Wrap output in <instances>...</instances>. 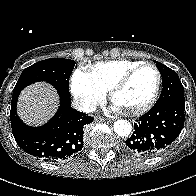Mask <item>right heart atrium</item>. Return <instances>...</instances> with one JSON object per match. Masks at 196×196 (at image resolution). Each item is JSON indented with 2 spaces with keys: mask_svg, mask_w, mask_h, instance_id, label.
Instances as JSON below:
<instances>
[{
  "mask_svg": "<svg viewBox=\"0 0 196 196\" xmlns=\"http://www.w3.org/2000/svg\"><path fill=\"white\" fill-rule=\"evenodd\" d=\"M71 92L85 111L94 110L106 95V91L94 80L90 72L81 68L73 73Z\"/></svg>",
  "mask_w": 196,
  "mask_h": 196,
  "instance_id": "right-heart-atrium-1",
  "label": "right heart atrium"
}]
</instances>
